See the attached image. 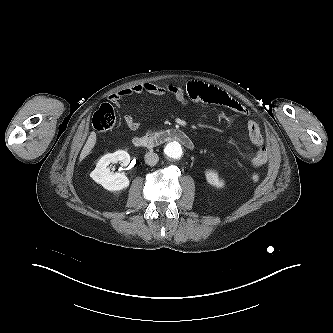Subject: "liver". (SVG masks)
<instances>
[{
  "label": "liver",
  "instance_id": "6515ba94",
  "mask_svg": "<svg viewBox=\"0 0 333 333\" xmlns=\"http://www.w3.org/2000/svg\"><path fill=\"white\" fill-rule=\"evenodd\" d=\"M96 143V133L95 132H91L90 136L88 137L82 151L80 154V158L79 161H82L86 156L89 155V153L91 152V150L93 149V147L95 146Z\"/></svg>",
  "mask_w": 333,
  "mask_h": 333
}]
</instances>
